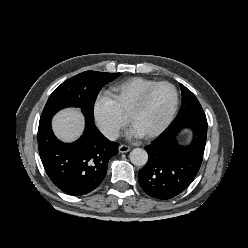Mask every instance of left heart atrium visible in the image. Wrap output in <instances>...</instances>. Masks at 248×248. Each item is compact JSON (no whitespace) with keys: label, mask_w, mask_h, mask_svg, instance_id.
<instances>
[{"label":"left heart atrium","mask_w":248,"mask_h":248,"mask_svg":"<svg viewBox=\"0 0 248 248\" xmlns=\"http://www.w3.org/2000/svg\"><path fill=\"white\" fill-rule=\"evenodd\" d=\"M130 137H134V138H138L141 137L143 135H141V133H139L135 128L132 127V129L130 130L129 134Z\"/></svg>","instance_id":"1"}]
</instances>
